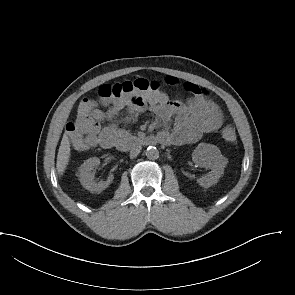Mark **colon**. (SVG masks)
Here are the masks:
<instances>
[{
    "mask_svg": "<svg viewBox=\"0 0 295 295\" xmlns=\"http://www.w3.org/2000/svg\"><path fill=\"white\" fill-rule=\"evenodd\" d=\"M160 90V85L156 81L146 79H136L133 81H124L115 84L101 85L97 90V96L100 101L108 102L133 93H149ZM97 106L95 100L91 98L83 99L79 105L77 119H85L90 116L93 109ZM221 136L224 141L234 143L236 141V132L231 125H226L221 130Z\"/></svg>",
    "mask_w": 295,
    "mask_h": 295,
    "instance_id": "1",
    "label": "colon"
}]
</instances>
